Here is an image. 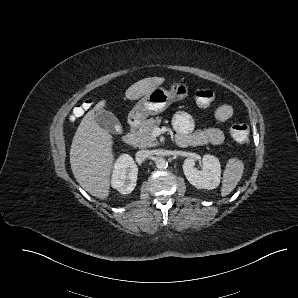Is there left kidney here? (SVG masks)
<instances>
[{
	"label": "left kidney",
	"mask_w": 298,
	"mask_h": 298,
	"mask_svg": "<svg viewBox=\"0 0 298 298\" xmlns=\"http://www.w3.org/2000/svg\"><path fill=\"white\" fill-rule=\"evenodd\" d=\"M203 166L195 168L194 159L188 158L183 163V171L187 180L196 188L206 190L217 188L222 178V167L218 157L205 154L202 158Z\"/></svg>",
	"instance_id": "5707ae66"
}]
</instances>
